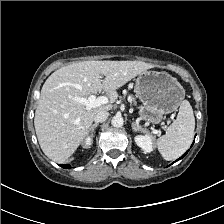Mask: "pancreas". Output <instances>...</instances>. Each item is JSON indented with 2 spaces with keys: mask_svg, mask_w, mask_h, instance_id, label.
Instances as JSON below:
<instances>
[{
  "mask_svg": "<svg viewBox=\"0 0 224 224\" xmlns=\"http://www.w3.org/2000/svg\"><path fill=\"white\" fill-rule=\"evenodd\" d=\"M131 99H132L133 103L136 104L134 97H132Z\"/></svg>",
  "mask_w": 224,
  "mask_h": 224,
  "instance_id": "pancreas-1",
  "label": "pancreas"
}]
</instances>
